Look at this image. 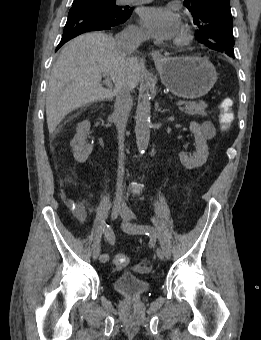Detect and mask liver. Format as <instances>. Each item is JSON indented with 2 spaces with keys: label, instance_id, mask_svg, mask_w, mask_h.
Returning a JSON list of instances; mask_svg holds the SVG:
<instances>
[{
  "label": "liver",
  "instance_id": "obj_1",
  "mask_svg": "<svg viewBox=\"0 0 261 340\" xmlns=\"http://www.w3.org/2000/svg\"><path fill=\"white\" fill-rule=\"evenodd\" d=\"M141 65L136 57L120 53L115 39L101 32L85 33L69 41L54 64L46 96L49 133L73 110L113 98L116 87L127 83L131 90L140 80ZM108 75L115 88L101 85Z\"/></svg>",
  "mask_w": 261,
  "mask_h": 340
}]
</instances>
